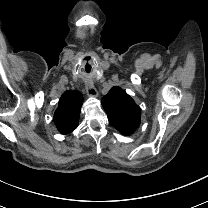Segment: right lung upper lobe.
Here are the masks:
<instances>
[{
  "label": "right lung upper lobe",
  "mask_w": 208,
  "mask_h": 208,
  "mask_svg": "<svg viewBox=\"0 0 208 208\" xmlns=\"http://www.w3.org/2000/svg\"><path fill=\"white\" fill-rule=\"evenodd\" d=\"M83 96L78 91H66L59 100L54 123L61 134H68L78 126Z\"/></svg>",
  "instance_id": "right-lung-upper-lobe-1"
}]
</instances>
